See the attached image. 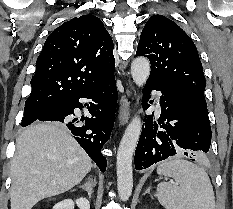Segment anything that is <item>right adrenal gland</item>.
Wrapping results in <instances>:
<instances>
[{
    "mask_svg": "<svg viewBox=\"0 0 233 209\" xmlns=\"http://www.w3.org/2000/svg\"><path fill=\"white\" fill-rule=\"evenodd\" d=\"M94 186L95 182L92 180V178H88V181L85 183V185H80L79 187L87 191L89 198H91Z\"/></svg>",
    "mask_w": 233,
    "mask_h": 209,
    "instance_id": "right-adrenal-gland-1",
    "label": "right adrenal gland"
}]
</instances>
